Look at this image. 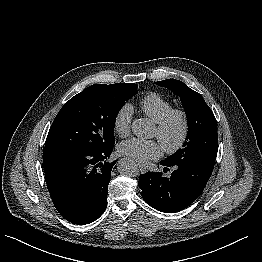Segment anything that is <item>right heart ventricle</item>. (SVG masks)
Returning <instances> with one entry per match:
<instances>
[{"label":"right heart ventricle","mask_w":262,"mask_h":262,"mask_svg":"<svg viewBox=\"0 0 262 262\" xmlns=\"http://www.w3.org/2000/svg\"><path fill=\"white\" fill-rule=\"evenodd\" d=\"M139 107L147 117L157 123L173 108V105L161 94L151 92L140 100Z\"/></svg>","instance_id":"right-heart-ventricle-1"}]
</instances>
